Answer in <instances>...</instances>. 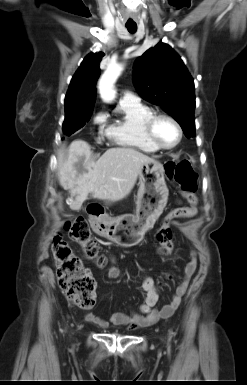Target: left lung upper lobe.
Listing matches in <instances>:
<instances>
[{
    "label": "left lung upper lobe",
    "mask_w": 247,
    "mask_h": 385,
    "mask_svg": "<svg viewBox=\"0 0 247 385\" xmlns=\"http://www.w3.org/2000/svg\"><path fill=\"white\" fill-rule=\"evenodd\" d=\"M133 81L145 100L161 106L177 120L187 138L195 136L193 79L169 45L158 43L139 57Z\"/></svg>",
    "instance_id": "1"
}]
</instances>
